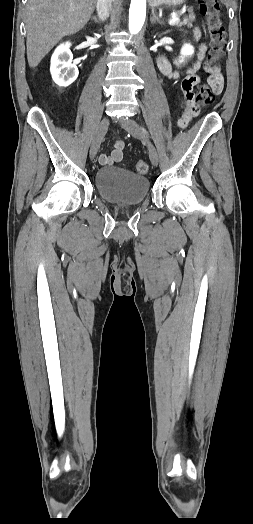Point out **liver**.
<instances>
[{"label": "liver", "mask_w": 253, "mask_h": 524, "mask_svg": "<svg viewBox=\"0 0 253 524\" xmlns=\"http://www.w3.org/2000/svg\"><path fill=\"white\" fill-rule=\"evenodd\" d=\"M97 0H28L26 4L27 59L35 68L64 37L89 21Z\"/></svg>", "instance_id": "1"}]
</instances>
